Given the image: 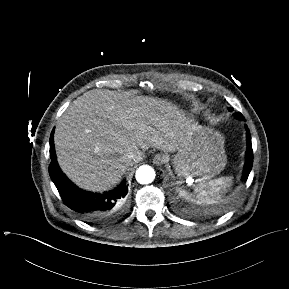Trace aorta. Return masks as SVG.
Listing matches in <instances>:
<instances>
[{
    "mask_svg": "<svg viewBox=\"0 0 289 289\" xmlns=\"http://www.w3.org/2000/svg\"><path fill=\"white\" fill-rule=\"evenodd\" d=\"M135 177L140 184H149L155 178V171L149 165H142L137 169Z\"/></svg>",
    "mask_w": 289,
    "mask_h": 289,
    "instance_id": "obj_1",
    "label": "aorta"
}]
</instances>
